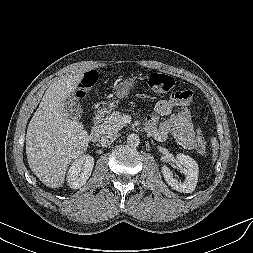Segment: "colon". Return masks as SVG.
<instances>
[{
  "instance_id": "obj_1",
  "label": "colon",
  "mask_w": 253,
  "mask_h": 253,
  "mask_svg": "<svg viewBox=\"0 0 253 253\" xmlns=\"http://www.w3.org/2000/svg\"><path fill=\"white\" fill-rule=\"evenodd\" d=\"M97 75L95 72H87L81 81L80 96L90 89L96 82ZM148 85L152 92L156 94H165L171 91L175 86V79L167 74L153 72L148 79ZM173 97L179 101L189 103L192 99V92L189 90H179L173 93ZM196 149L204 154L206 152V143L204 139L198 135L196 138Z\"/></svg>"
}]
</instances>
